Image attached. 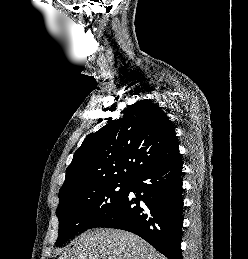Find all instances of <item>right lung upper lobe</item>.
Here are the masks:
<instances>
[{"label": "right lung upper lobe", "instance_id": "obj_1", "mask_svg": "<svg viewBox=\"0 0 248 259\" xmlns=\"http://www.w3.org/2000/svg\"><path fill=\"white\" fill-rule=\"evenodd\" d=\"M89 134L66 169L59 199L76 187L105 181H130L144 170L178 157L171 121L155 103L140 100Z\"/></svg>", "mask_w": 248, "mask_h": 259}]
</instances>
